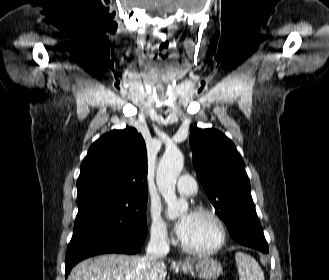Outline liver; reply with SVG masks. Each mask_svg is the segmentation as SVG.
Here are the masks:
<instances>
[{
    "mask_svg": "<svg viewBox=\"0 0 329 280\" xmlns=\"http://www.w3.org/2000/svg\"><path fill=\"white\" fill-rule=\"evenodd\" d=\"M140 261V256L100 255L76 265L67 280H165L164 263L147 275Z\"/></svg>",
    "mask_w": 329,
    "mask_h": 280,
    "instance_id": "obj_1",
    "label": "liver"
}]
</instances>
